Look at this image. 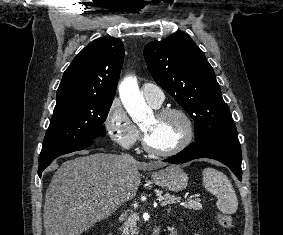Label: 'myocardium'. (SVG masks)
Segmentation results:
<instances>
[{"mask_svg":"<svg viewBox=\"0 0 283 235\" xmlns=\"http://www.w3.org/2000/svg\"><path fill=\"white\" fill-rule=\"evenodd\" d=\"M171 114L179 116L184 122L185 132H184V135L181 141L176 146H174L173 148L169 150H158V149L153 148L149 144L146 132L142 129V145H143L144 150L148 152L149 154L158 156V157L174 156L182 152L184 149H186L193 141V138L195 135L194 123L186 111H184L181 108H176V107H164V108L158 109L155 112V116L158 118H162V117H165Z\"/></svg>","mask_w":283,"mask_h":235,"instance_id":"1","label":"myocardium"}]
</instances>
